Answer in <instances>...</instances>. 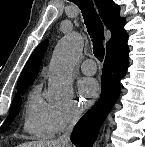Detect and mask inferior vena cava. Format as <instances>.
Here are the masks:
<instances>
[{"mask_svg": "<svg viewBox=\"0 0 145 147\" xmlns=\"http://www.w3.org/2000/svg\"><path fill=\"white\" fill-rule=\"evenodd\" d=\"M79 117L80 112L78 110H75L70 118L69 126L67 127L66 131L57 139V143L60 144V146L68 147L71 132Z\"/></svg>", "mask_w": 145, "mask_h": 147, "instance_id": "obj_1", "label": "inferior vena cava"}]
</instances>
